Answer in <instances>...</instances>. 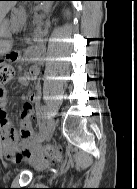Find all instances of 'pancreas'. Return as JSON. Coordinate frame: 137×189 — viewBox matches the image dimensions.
Returning a JSON list of instances; mask_svg holds the SVG:
<instances>
[{
  "label": "pancreas",
  "mask_w": 137,
  "mask_h": 189,
  "mask_svg": "<svg viewBox=\"0 0 137 189\" xmlns=\"http://www.w3.org/2000/svg\"><path fill=\"white\" fill-rule=\"evenodd\" d=\"M25 20V12L22 7L12 9V26H21Z\"/></svg>",
  "instance_id": "cf45deb5"
}]
</instances>
